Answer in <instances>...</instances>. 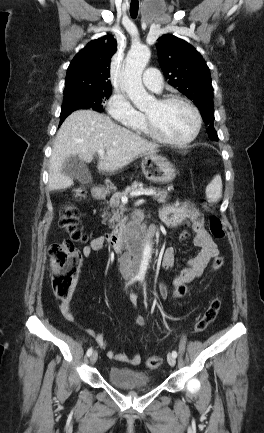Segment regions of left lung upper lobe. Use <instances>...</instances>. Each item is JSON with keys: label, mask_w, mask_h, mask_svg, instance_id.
Listing matches in <instances>:
<instances>
[{"label": "left lung upper lobe", "mask_w": 264, "mask_h": 433, "mask_svg": "<svg viewBox=\"0 0 264 433\" xmlns=\"http://www.w3.org/2000/svg\"><path fill=\"white\" fill-rule=\"evenodd\" d=\"M157 41L159 63L166 79L196 104L208 126V136L218 140L213 125V87L205 60L193 46L173 35H163Z\"/></svg>", "instance_id": "left-lung-upper-lobe-1"}]
</instances>
